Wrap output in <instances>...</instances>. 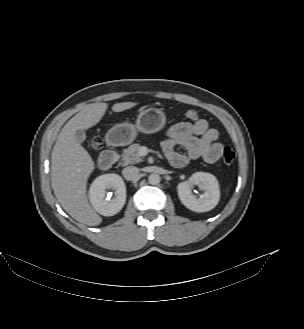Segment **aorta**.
<instances>
[{"label":"aorta","instance_id":"1","mask_svg":"<svg viewBox=\"0 0 304 329\" xmlns=\"http://www.w3.org/2000/svg\"><path fill=\"white\" fill-rule=\"evenodd\" d=\"M148 181L152 185H157L160 182V176L158 174H150L148 177Z\"/></svg>","mask_w":304,"mask_h":329}]
</instances>
